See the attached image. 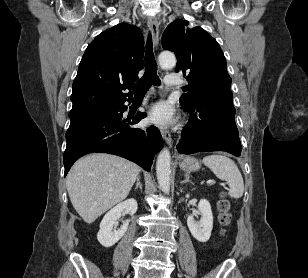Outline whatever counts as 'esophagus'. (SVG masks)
<instances>
[{
    "label": "esophagus",
    "instance_id": "1",
    "mask_svg": "<svg viewBox=\"0 0 308 278\" xmlns=\"http://www.w3.org/2000/svg\"><path fill=\"white\" fill-rule=\"evenodd\" d=\"M147 24L148 27L151 31V35H152V40H153V47L156 49L157 45H158V40H159V27H158V23L154 18L148 17L147 19ZM161 135L164 139V141L171 146L172 144V137L171 134L168 130L166 129H161L160 130Z\"/></svg>",
    "mask_w": 308,
    "mask_h": 278
}]
</instances>
